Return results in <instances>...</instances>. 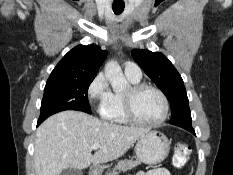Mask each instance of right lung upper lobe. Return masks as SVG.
I'll use <instances>...</instances> for the list:
<instances>
[{"mask_svg":"<svg viewBox=\"0 0 233 175\" xmlns=\"http://www.w3.org/2000/svg\"><path fill=\"white\" fill-rule=\"evenodd\" d=\"M106 56L95 44L78 45L61 59L49 79L95 77Z\"/></svg>","mask_w":233,"mask_h":175,"instance_id":"cb5924a9","label":"right lung upper lobe"}]
</instances>
